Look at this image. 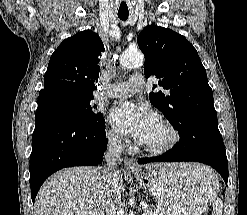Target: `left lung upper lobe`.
<instances>
[{
    "instance_id": "obj_1",
    "label": "left lung upper lobe",
    "mask_w": 247,
    "mask_h": 215,
    "mask_svg": "<svg viewBox=\"0 0 247 215\" xmlns=\"http://www.w3.org/2000/svg\"><path fill=\"white\" fill-rule=\"evenodd\" d=\"M137 42L145 55V76H156L158 85L164 89L151 92L150 102L178 133L201 126H217L213 92L193 45L184 36L157 25L145 27Z\"/></svg>"
}]
</instances>
